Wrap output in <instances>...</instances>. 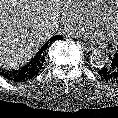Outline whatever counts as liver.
Returning a JSON list of instances; mask_svg holds the SVG:
<instances>
[{
    "label": "liver",
    "instance_id": "liver-1",
    "mask_svg": "<svg viewBox=\"0 0 118 118\" xmlns=\"http://www.w3.org/2000/svg\"><path fill=\"white\" fill-rule=\"evenodd\" d=\"M60 0H0V66L29 62L58 28Z\"/></svg>",
    "mask_w": 118,
    "mask_h": 118
}]
</instances>
